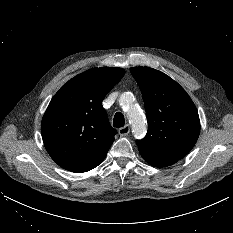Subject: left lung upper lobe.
I'll list each match as a JSON object with an SVG mask.
<instances>
[{"mask_svg":"<svg viewBox=\"0 0 233 233\" xmlns=\"http://www.w3.org/2000/svg\"><path fill=\"white\" fill-rule=\"evenodd\" d=\"M138 83L147 115L148 132L137 140L139 151L178 161L194 147L200 133L198 111L172 78L149 67L130 68Z\"/></svg>","mask_w":233,"mask_h":233,"instance_id":"5c2ea615","label":"left lung upper lobe"}]
</instances>
